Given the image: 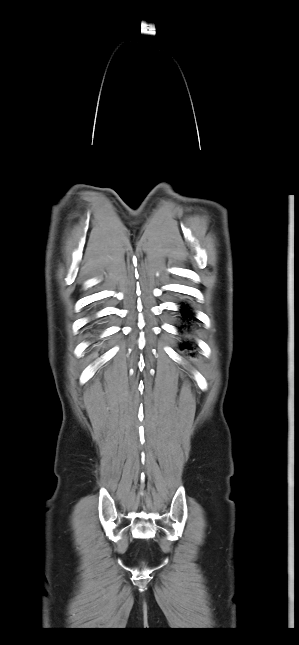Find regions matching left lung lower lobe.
Masks as SVG:
<instances>
[{
	"instance_id": "obj_1",
	"label": "left lung lower lobe",
	"mask_w": 299,
	"mask_h": 645,
	"mask_svg": "<svg viewBox=\"0 0 299 645\" xmlns=\"http://www.w3.org/2000/svg\"><path fill=\"white\" fill-rule=\"evenodd\" d=\"M180 313L182 314V318L186 321H190L194 319L192 312L190 311L189 307L185 304H182ZM191 349V346L189 343H183L181 344V349Z\"/></svg>"
}]
</instances>
